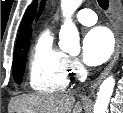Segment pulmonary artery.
<instances>
[{
  "mask_svg": "<svg viewBox=\"0 0 123 113\" xmlns=\"http://www.w3.org/2000/svg\"><path fill=\"white\" fill-rule=\"evenodd\" d=\"M75 19L83 25L90 26L96 23L97 15L90 9H80L75 14Z\"/></svg>",
  "mask_w": 123,
  "mask_h": 113,
  "instance_id": "obj_1",
  "label": "pulmonary artery"
}]
</instances>
